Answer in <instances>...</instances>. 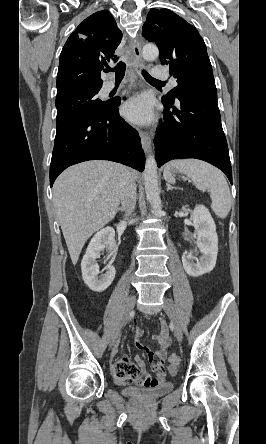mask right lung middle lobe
I'll return each instance as SVG.
<instances>
[{"mask_svg": "<svg viewBox=\"0 0 266 444\" xmlns=\"http://www.w3.org/2000/svg\"><path fill=\"white\" fill-rule=\"evenodd\" d=\"M98 92L78 91L57 97V131L74 121L91 118L105 111L111 102L101 101L97 97Z\"/></svg>", "mask_w": 266, "mask_h": 444, "instance_id": "1", "label": "right lung middle lobe"}]
</instances>
